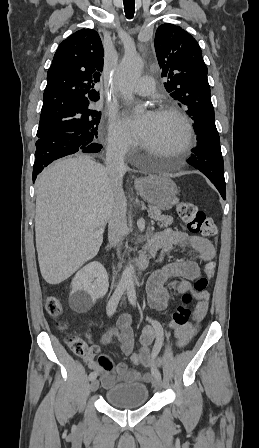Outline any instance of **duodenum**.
Here are the masks:
<instances>
[{
	"instance_id": "duodenum-1",
	"label": "duodenum",
	"mask_w": 259,
	"mask_h": 448,
	"mask_svg": "<svg viewBox=\"0 0 259 448\" xmlns=\"http://www.w3.org/2000/svg\"><path fill=\"white\" fill-rule=\"evenodd\" d=\"M156 249L155 244L152 241H149L143 249L140 257L134 262L133 268L136 272L144 271L148 264L151 253Z\"/></svg>"
}]
</instances>
